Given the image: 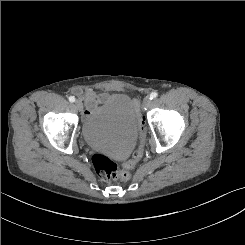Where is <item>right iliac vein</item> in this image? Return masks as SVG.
<instances>
[{
	"label": "right iliac vein",
	"instance_id": "right-iliac-vein-1",
	"mask_svg": "<svg viewBox=\"0 0 245 245\" xmlns=\"http://www.w3.org/2000/svg\"><path fill=\"white\" fill-rule=\"evenodd\" d=\"M75 106L78 108V109H81L82 108V102L80 100H76L75 101Z\"/></svg>",
	"mask_w": 245,
	"mask_h": 245
}]
</instances>
